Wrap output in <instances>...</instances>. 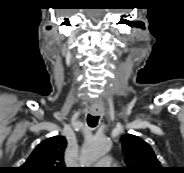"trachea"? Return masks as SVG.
<instances>
[{"label": "trachea", "instance_id": "1", "mask_svg": "<svg viewBox=\"0 0 184 173\" xmlns=\"http://www.w3.org/2000/svg\"><path fill=\"white\" fill-rule=\"evenodd\" d=\"M98 120H99V116H92L90 114H88L87 116V123L92 128L96 127Z\"/></svg>", "mask_w": 184, "mask_h": 173}]
</instances>
